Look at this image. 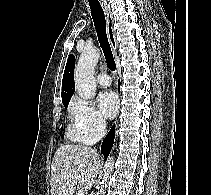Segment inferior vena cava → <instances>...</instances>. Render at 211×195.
I'll use <instances>...</instances> for the list:
<instances>
[{
	"label": "inferior vena cava",
	"instance_id": "1",
	"mask_svg": "<svg viewBox=\"0 0 211 195\" xmlns=\"http://www.w3.org/2000/svg\"><path fill=\"white\" fill-rule=\"evenodd\" d=\"M98 131L101 136L106 134V124L103 120L98 122Z\"/></svg>",
	"mask_w": 211,
	"mask_h": 195
}]
</instances>
